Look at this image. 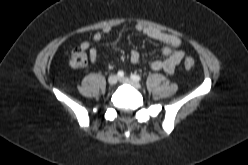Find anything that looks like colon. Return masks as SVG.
I'll return each mask as SVG.
<instances>
[{"instance_id": "colon-1", "label": "colon", "mask_w": 248, "mask_h": 165, "mask_svg": "<svg viewBox=\"0 0 248 165\" xmlns=\"http://www.w3.org/2000/svg\"><path fill=\"white\" fill-rule=\"evenodd\" d=\"M69 63L73 68H82L87 64V56L83 49L76 48L72 50L70 57H69ZM195 66V61L191 57H187L184 60V67L186 69H192Z\"/></svg>"}]
</instances>
